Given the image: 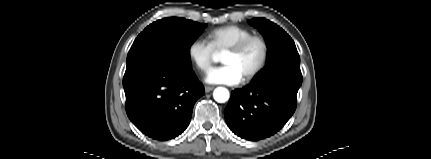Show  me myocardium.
<instances>
[{
    "mask_svg": "<svg viewBox=\"0 0 431 159\" xmlns=\"http://www.w3.org/2000/svg\"><path fill=\"white\" fill-rule=\"evenodd\" d=\"M255 42L261 45L262 54H261L260 61L258 65L255 67V69L252 70L245 77H243V80L245 82H249L255 79L257 76H259L267 64V61L269 58V44L266 38L261 35H251L225 51V53L239 55V54H242L251 44Z\"/></svg>",
    "mask_w": 431,
    "mask_h": 159,
    "instance_id": "1",
    "label": "myocardium"
}]
</instances>
